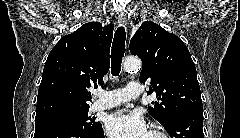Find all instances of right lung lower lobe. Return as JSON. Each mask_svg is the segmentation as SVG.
I'll return each mask as SVG.
<instances>
[{
  "instance_id": "obj_1",
  "label": "right lung lower lobe",
  "mask_w": 240,
  "mask_h": 138,
  "mask_svg": "<svg viewBox=\"0 0 240 138\" xmlns=\"http://www.w3.org/2000/svg\"><path fill=\"white\" fill-rule=\"evenodd\" d=\"M34 138H104L102 125L85 130L68 121H51L35 125Z\"/></svg>"
}]
</instances>
